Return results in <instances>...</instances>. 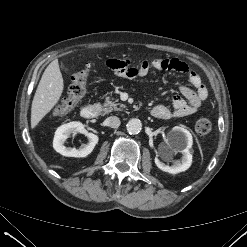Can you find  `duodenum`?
<instances>
[{
	"mask_svg": "<svg viewBox=\"0 0 247 247\" xmlns=\"http://www.w3.org/2000/svg\"><path fill=\"white\" fill-rule=\"evenodd\" d=\"M99 110L96 105H86L81 109V116L85 119H94L98 116Z\"/></svg>",
	"mask_w": 247,
	"mask_h": 247,
	"instance_id": "410a0bca",
	"label": "duodenum"
}]
</instances>
